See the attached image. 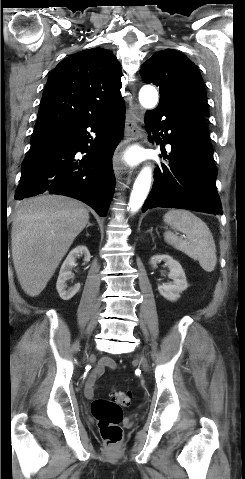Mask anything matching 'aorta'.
Wrapping results in <instances>:
<instances>
[{"label": "aorta", "mask_w": 245, "mask_h": 479, "mask_svg": "<svg viewBox=\"0 0 245 479\" xmlns=\"http://www.w3.org/2000/svg\"><path fill=\"white\" fill-rule=\"evenodd\" d=\"M139 101L145 108H154L158 102V92L152 86H144L139 92ZM152 172L149 167H144L136 178L130 195L129 209L138 211L143 205L151 185Z\"/></svg>", "instance_id": "obj_1"}]
</instances>
